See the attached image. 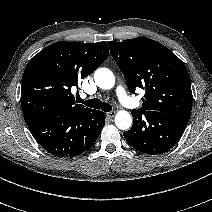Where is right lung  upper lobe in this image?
<instances>
[{
	"label": "right lung upper lobe",
	"mask_w": 212,
	"mask_h": 212,
	"mask_svg": "<svg viewBox=\"0 0 212 212\" xmlns=\"http://www.w3.org/2000/svg\"><path fill=\"white\" fill-rule=\"evenodd\" d=\"M106 42H56L37 53L22 78L21 106L25 122L46 116H65L92 109L75 102L71 88L78 86L108 57Z\"/></svg>",
	"instance_id": "obj_1"
}]
</instances>
